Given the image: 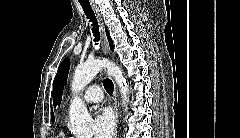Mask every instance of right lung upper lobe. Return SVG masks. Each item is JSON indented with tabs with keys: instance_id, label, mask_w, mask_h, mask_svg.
<instances>
[{
	"instance_id": "obj_1",
	"label": "right lung upper lobe",
	"mask_w": 240,
	"mask_h": 138,
	"mask_svg": "<svg viewBox=\"0 0 240 138\" xmlns=\"http://www.w3.org/2000/svg\"><path fill=\"white\" fill-rule=\"evenodd\" d=\"M51 120H52V122H54V114H53V112L51 114Z\"/></svg>"
}]
</instances>
